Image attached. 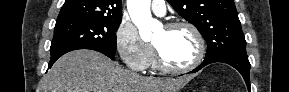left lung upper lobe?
<instances>
[{
    "label": "left lung upper lobe",
    "instance_id": "left-lung-upper-lobe-1",
    "mask_svg": "<svg viewBox=\"0 0 289 92\" xmlns=\"http://www.w3.org/2000/svg\"><path fill=\"white\" fill-rule=\"evenodd\" d=\"M208 44L205 59L246 54V41L233 0H167Z\"/></svg>",
    "mask_w": 289,
    "mask_h": 92
}]
</instances>
